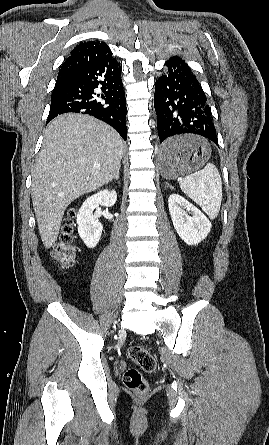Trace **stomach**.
Here are the masks:
<instances>
[{
	"mask_svg": "<svg viewBox=\"0 0 269 445\" xmlns=\"http://www.w3.org/2000/svg\"><path fill=\"white\" fill-rule=\"evenodd\" d=\"M182 149L172 155L159 154L160 171L164 178L175 179L198 170L210 156V146L203 139L191 135L174 138Z\"/></svg>",
	"mask_w": 269,
	"mask_h": 445,
	"instance_id": "obj_1",
	"label": "stomach"
}]
</instances>
